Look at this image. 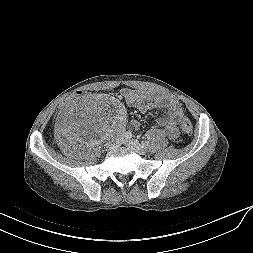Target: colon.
I'll use <instances>...</instances> for the list:
<instances>
[{"label": "colon", "mask_w": 253, "mask_h": 253, "mask_svg": "<svg viewBox=\"0 0 253 253\" xmlns=\"http://www.w3.org/2000/svg\"><path fill=\"white\" fill-rule=\"evenodd\" d=\"M94 96H95L94 90H82V91L74 92L73 94L68 95L65 98V102H63L62 104L58 106V111L64 112L65 110L69 109L72 103L76 99L94 97ZM180 126H181L182 131L185 134H191L193 131V126L187 118L182 119Z\"/></svg>", "instance_id": "colon-1"}]
</instances>
